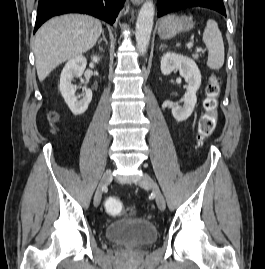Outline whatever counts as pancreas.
<instances>
[{
  "instance_id": "1",
  "label": "pancreas",
  "mask_w": 265,
  "mask_h": 269,
  "mask_svg": "<svg viewBox=\"0 0 265 269\" xmlns=\"http://www.w3.org/2000/svg\"><path fill=\"white\" fill-rule=\"evenodd\" d=\"M192 57H193L195 60H198L199 55H198V54H192Z\"/></svg>"
}]
</instances>
